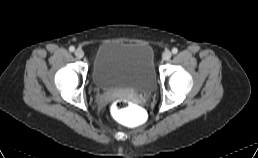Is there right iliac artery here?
I'll return each instance as SVG.
<instances>
[{
	"label": "right iliac artery",
	"mask_w": 258,
	"mask_h": 158,
	"mask_svg": "<svg viewBox=\"0 0 258 158\" xmlns=\"http://www.w3.org/2000/svg\"><path fill=\"white\" fill-rule=\"evenodd\" d=\"M75 50V47L74 46H70L69 47V51L73 52Z\"/></svg>",
	"instance_id": "1"
}]
</instances>
